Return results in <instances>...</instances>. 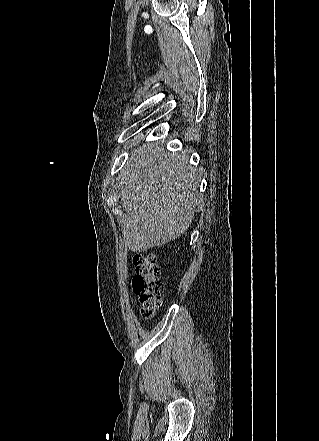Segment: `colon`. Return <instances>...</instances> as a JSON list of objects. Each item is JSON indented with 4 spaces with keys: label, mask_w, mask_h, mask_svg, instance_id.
Here are the masks:
<instances>
[{
    "label": "colon",
    "mask_w": 319,
    "mask_h": 441,
    "mask_svg": "<svg viewBox=\"0 0 319 441\" xmlns=\"http://www.w3.org/2000/svg\"><path fill=\"white\" fill-rule=\"evenodd\" d=\"M135 275L132 289L138 296L141 315L152 318L160 307L163 298V287L159 279V269L154 254H136L133 257Z\"/></svg>",
    "instance_id": "1"
}]
</instances>
